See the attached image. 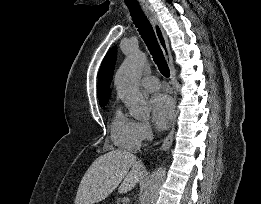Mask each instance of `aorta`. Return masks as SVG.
<instances>
[{"label":"aorta","mask_w":261,"mask_h":204,"mask_svg":"<svg viewBox=\"0 0 261 204\" xmlns=\"http://www.w3.org/2000/svg\"><path fill=\"white\" fill-rule=\"evenodd\" d=\"M147 62L145 53L133 51L115 76L117 92L128 108L129 114L136 119L147 118L150 115L149 103L139 89V80ZM165 178V168L153 172L141 195L140 204H155Z\"/></svg>","instance_id":"aorta-1"}]
</instances>
